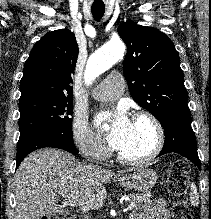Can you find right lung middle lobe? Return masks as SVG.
I'll use <instances>...</instances> for the list:
<instances>
[{"label": "right lung middle lobe", "mask_w": 211, "mask_h": 219, "mask_svg": "<svg viewBox=\"0 0 211 219\" xmlns=\"http://www.w3.org/2000/svg\"><path fill=\"white\" fill-rule=\"evenodd\" d=\"M20 138L33 132L51 130L72 136V99L35 97L19 101Z\"/></svg>", "instance_id": "obj_1"}]
</instances>
